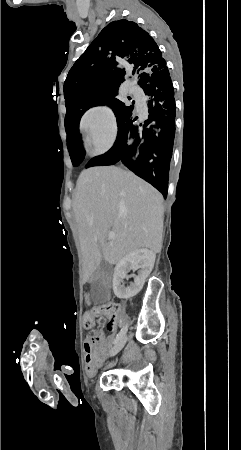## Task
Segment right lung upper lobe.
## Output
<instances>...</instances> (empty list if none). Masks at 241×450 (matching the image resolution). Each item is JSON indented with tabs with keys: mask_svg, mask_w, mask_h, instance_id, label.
<instances>
[{
	"mask_svg": "<svg viewBox=\"0 0 241 450\" xmlns=\"http://www.w3.org/2000/svg\"><path fill=\"white\" fill-rule=\"evenodd\" d=\"M165 65L154 39L135 22L123 19L108 24L69 72L95 87L119 90L129 75L139 80L145 72Z\"/></svg>",
	"mask_w": 241,
	"mask_h": 450,
	"instance_id": "1",
	"label": "right lung upper lobe"
}]
</instances>
